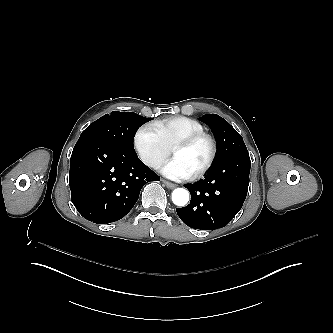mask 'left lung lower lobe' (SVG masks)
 <instances>
[{"mask_svg": "<svg viewBox=\"0 0 333 333\" xmlns=\"http://www.w3.org/2000/svg\"><path fill=\"white\" fill-rule=\"evenodd\" d=\"M250 167L249 153H238L213 165L204 179L184 185L191 193V201L176 209L180 219L195 229L224 227L242 208Z\"/></svg>", "mask_w": 333, "mask_h": 333, "instance_id": "0a47b994", "label": "left lung lower lobe"}]
</instances>
